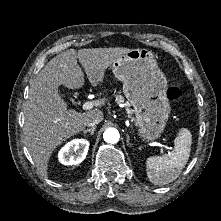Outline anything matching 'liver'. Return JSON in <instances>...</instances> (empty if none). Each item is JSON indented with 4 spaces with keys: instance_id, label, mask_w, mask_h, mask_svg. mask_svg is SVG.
I'll use <instances>...</instances> for the list:
<instances>
[{
    "instance_id": "obj_1",
    "label": "liver",
    "mask_w": 221,
    "mask_h": 221,
    "mask_svg": "<svg viewBox=\"0 0 221 221\" xmlns=\"http://www.w3.org/2000/svg\"><path fill=\"white\" fill-rule=\"evenodd\" d=\"M129 50L120 47L66 50L52 58L31 83L24 107V142L42 176H47L48 162L57 146L81 132L91 119L97 116L103 119L97 108L83 113L68 110L58 87H83L84 72L77 60L96 87L103 82L107 68ZM97 103L104 105V99H98Z\"/></svg>"
}]
</instances>
